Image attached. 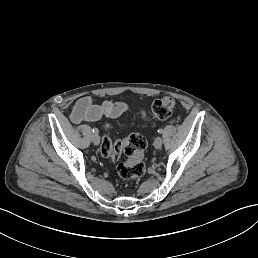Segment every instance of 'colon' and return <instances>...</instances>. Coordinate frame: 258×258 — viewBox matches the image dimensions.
<instances>
[{
	"label": "colon",
	"mask_w": 258,
	"mask_h": 258,
	"mask_svg": "<svg viewBox=\"0 0 258 258\" xmlns=\"http://www.w3.org/2000/svg\"><path fill=\"white\" fill-rule=\"evenodd\" d=\"M174 107L175 101L171 97L157 99L152 104L151 117L165 120L170 117ZM142 117L149 118L145 112H142ZM146 147V139L138 133L117 141H113L110 136L106 135L102 138L100 153L114 162L125 155L126 160L118 164L117 172L121 179L133 181L145 173L144 151Z\"/></svg>",
	"instance_id": "colon-1"
}]
</instances>
